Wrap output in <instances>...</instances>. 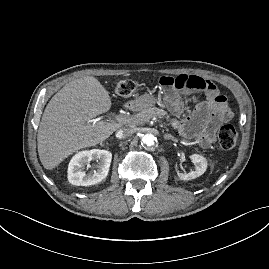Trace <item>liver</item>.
I'll use <instances>...</instances> for the list:
<instances>
[{
  "instance_id": "obj_1",
  "label": "liver",
  "mask_w": 269,
  "mask_h": 269,
  "mask_svg": "<svg viewBox=\"0 0 269 269\" xmlns=\"http://www.w3.org/2000/svg\"><path fill=\"white\" fill-rule=\"evenodd\" d=\"M108 91L92 76L67 83L47 104L39 125L37 146L45 169L52 170L69 155L95 146L122 125L91 120L111 108Z\"/></svg>"
}]
</instances>
